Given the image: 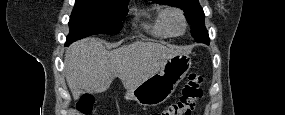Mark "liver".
I'll use <instances>...</instances> for the list:
<instances>
[{
  "instance_id": "liver-1",
  "label": "liver",
  "mask_w": 285,
  "mask_h": 115,
  "mask_svg": "<svg viewBox=\"0 0 285 115\" xmlns=\"http://www.w3.org/2000/svg\"><path fill=\"white\" fill-rule=\"evenodd\" d=\"M181 53L182 49L174 46L140 41L107 51L101 40L87 38L66 50V81L74 100L85 92H105L116 77L131 91Z\"/></svg>"
}]
</instances>
